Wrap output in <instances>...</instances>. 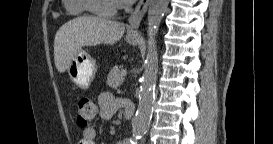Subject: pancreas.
<instances>
[{
    "mask_svg": "<svg viewBox=\"0 0 273 144\" xmlns=\"http://www.w3.org/2000/svg\"><path fill=\"white\" fill-rule=\"evenodd\" d=\"M122 73V68H118V67H113L108 76H107V84L111 87V88H117L119 87L124 79L121 75Z\"/></svg>",
    "mask_w": 273,
    "mask_h": 144,
    "instance_id": "1",
    "label": "pancreas"
}]
</instances>
